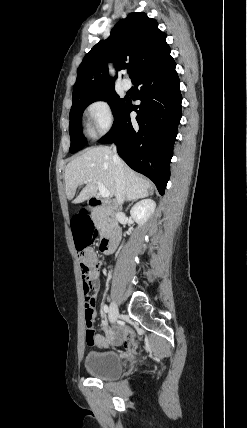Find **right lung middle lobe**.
Returning a JSON list of instances; mask_svg holds the SVG:
<instances>
[{"mask_svg": "<svg viewBox=\"0 0 247 428\" xmlns=\"http://www.w3.org/2000/svg\"><path fill=\"white\" fill-rule=\"evenodd\" d=\"M104 100L110 105L114 119L117 117L121 108L126 102V98L121 99L115 92L114 88L92 93L73 101L70 110L69 134L71 146L69 151L75 153L86 145V140L82 134L81 117L84 109L94 101Z\"/></svg>", "mask_w": 247, "mask_h": 428, "instance_id": "obj_1", "label": "right lung middle lobe"}]
</instances>
